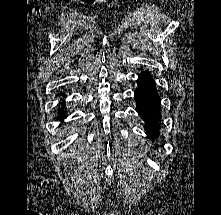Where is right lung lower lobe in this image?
Listing matches in <instances>:
<instances>
[{
    "label": "right lung lower lobe",
    "instance_id": "obj_1",
    "mask_svg": "<svg viewBox=\"0 0 221 215\" xmlns=\"http://www.w3.org/2000/svg\"><path fill=\"white\" fill-rule=\"evenodd\" d=\"M64 97H65V95H64ZM63 120V118H61V120L60 121H62Z\"/></svg>",
    "mask_w": 221,
    "mask_h": 215
}]
</instances>
